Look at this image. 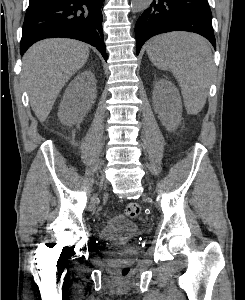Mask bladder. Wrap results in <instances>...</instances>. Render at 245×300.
Listing matches in <instances>:
<instances>
[{
    "label": "bladder",
    "mask_w": 245,
    "mask_h": 300,
    "mask_svg": "<svg viewBox=\"0 0 245 300\" xmlns=\"http://www.w3.org/2000/svg\"><path fill=\"white\" fill-rule=\"evenodd\" d=\"M100 234L105 242L124 243L133 240L139 234V226L124 217L115 216L104 224Z\"/></svg>",
    "instance_id": "bladder-1"
}]
</instances>
